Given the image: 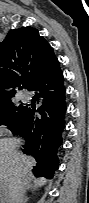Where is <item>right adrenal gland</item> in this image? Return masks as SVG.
Returning <instances> with one entry per match:
<instances>
[{
	"label": "right adrenal gland",
	"instance_id": "1",
	"mask_svg": "<svg viewBox=\"0 0 89 203\" xmlns=\"http://www.w3.org/2000/svg\"><path fill=\"white\" fill-rule=\"evenodd\" d=\"M28 200H29V199L25 196V197H24V203H27Z\"/></svg>",
	"mask_w": 89,
	"mask_h": 203
}]
</instances>
